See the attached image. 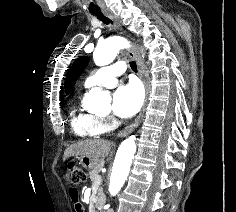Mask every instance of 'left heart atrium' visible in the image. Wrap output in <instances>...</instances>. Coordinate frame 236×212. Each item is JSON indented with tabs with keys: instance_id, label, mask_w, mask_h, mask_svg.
I'll use <instances>...</instances> for the list:
<instances>
[{
	"instance_id": "1",
	"label": "left heart atrium",
	"mask_w": 236,
	"mask_h": 212,
	"mask_svg": "<svg viewBox=\"0 0 236 212\" xmlns=\"http://www.w3.org/2000/svg\"><path fill=\"white\" fill-rule=\"evenodd\" d=\"M143 89L137 82L121 85L112 97V110L120 117L135 115L143 104Z\"/></svg>"
}]
</instances>
